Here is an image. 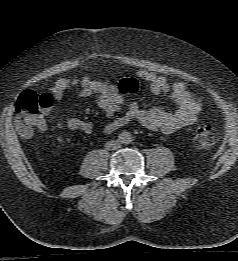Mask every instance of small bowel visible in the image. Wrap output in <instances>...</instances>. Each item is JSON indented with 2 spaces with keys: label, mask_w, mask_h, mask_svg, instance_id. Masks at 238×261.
Returning <instances> with one entry per match:
<instances>
[{
  "label": "small bowel",
  "mask_w": 238,
  "mask_h": 261,
  "mask_svg": "<svg viewBox=\"0 0 238 261\" xmlns=\"http://www.w3.org/2000/svg\"><path fill=\"white\" fill-rule=\"evenodd\" d=\"M134 75L136 78L148 82L152 93L168 94L177 107L172 111H165L158 107L143 109L135 102H127L119 91L117 83L90 77L60 79L46 94L50 95L54 101H59L65 97L69 89L77 88L79 97L94 98L98 107L111 119L104 128L106 134H111L133 121L139 122L152 131L173 134L198 119L201 104L189 90L186 82L170 84L164 76L150 70H138ZM122 110H125V113L116 117V113ZM66 125L70 130H81L85 133L94 131L93 123L79 118L68 119ZM45 128L44 120L39 129L44 130Z\"/></svg>",
  "instance_id": "obj_1"
}]
</instances>
